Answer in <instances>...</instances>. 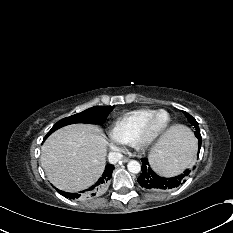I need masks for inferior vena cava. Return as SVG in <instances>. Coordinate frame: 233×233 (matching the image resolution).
<instances>
[{
    "label": "inferior vena cava",
    "instance_id": "602c4592",
    "mask_svg": "<svg viewBox=\"0 0 233 233\" xmlns=\"http://www.w3.org/2000/svg\"><path fill=\"white\" fill-rule=\"evenodd\" d=\"M123 155L119 152H110L108 155V160L111 164H116L119 160H121Z\"/></svg>",
    "mask_w": 233,
    "mask_h": 233
}]
</instances>
